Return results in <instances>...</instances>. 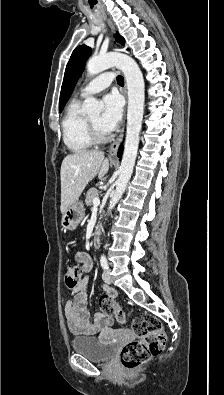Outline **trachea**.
<instances>
[{
	"mask_svg": "<svg viewBox=\"0 0 224 395\" xmlns=\"http://www.w3.org/2000/svg\"><path fill=\"white\" fill-rule=\"evenodd\" d=\"M117 83L119 85H124V78L122 76H117Z\"/></svg>",
	"mask_w": 224,
	"mask_h": 395,
	"instance_id": "trachea-1",
	"label": "trachea"
}]
</instances>
